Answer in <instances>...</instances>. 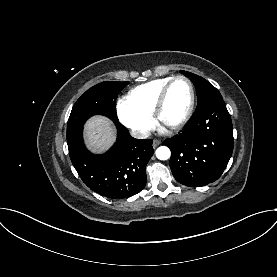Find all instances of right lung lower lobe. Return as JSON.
<instances>
[{
	"instance_id": "obj_1",
	"label": "right lung lower lobe",
	"mask_w": 277,
	"mask_h": 277,
	"mask_svg": "<svg viewBox=\"0 0 277 277\" xmlns=\"http://www.w3.org/2000/svg\"><path fill=\"white\" fill-rule=\"evenodd\" d=\"M114 146L103 155L89 152L83 128L67 138L69 156L82 181L93 191L111 199L130 197L146 185V165L154 153L151 139H135L119 122Z\"/></svg>"
}]
</instances>
